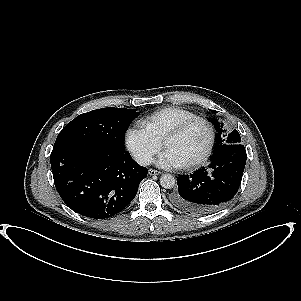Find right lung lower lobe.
<instances>
[{
    "label": "right lung lower lobe",
    "instance_id": "right-lung-lower-lobe-1",
    "mask_svg": "<svg viewBox=\"0 0 301 301\" xmlns=\"http://www.w3.org/2000/svg\"><path fill=\"white\" fill-rule=\"evenodd\" d=\"M50 161L62 200L93 219L110 218L125 209L148 172L124 149L94 140L56 145Z\"/></svg>",
    "mask_w": 301,
    "mask_h": 301
}]
</instances>
